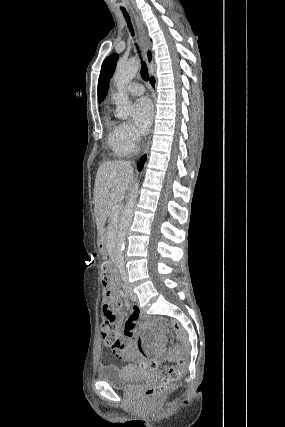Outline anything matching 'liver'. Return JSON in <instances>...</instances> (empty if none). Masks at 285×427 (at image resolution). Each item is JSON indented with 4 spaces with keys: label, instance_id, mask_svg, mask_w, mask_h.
<instances>
[{
    "label": "liver",
    "instance_id": "1",
    "mask_svg": "<svg viewBox=\"0 0 285 427\" xmlns=\"http://www.w3.org/2000/svg\"><path fill=\"white\" fill-rule=\"evenodd\" d=\"M134 170L129 162L110 161L100 165L94 185V213L101 233L111 209L125 197Z\"/></svg>",
    "mask_w": 285,
    "mask_h": 427
}]
</instances>
